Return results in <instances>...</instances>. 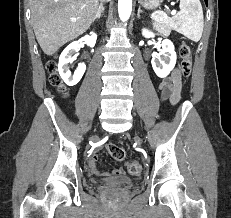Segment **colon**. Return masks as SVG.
<instances>
[{"instance_id":"obj_1","label":"colon","mask_w":231,"mask_h":218,"mask_svg":"<svg viewBox=\"0 0 231 218\" xmlns=\"http://www.w3.org/2000/svg\"><path fill=\"white\" fill-rule=\"evenodd\" d=\"M179 56L181 58L180 69L182 76L184 78H188L192 69V51L191 47L187 43H182L180 46ZM56 68L57 65L55 61L48 62L47 69L50 72V82L54 86L58 87L62 92H65L66 88L62 84L59 75L56 73ZM106 149L115 160H124L125 150L122 147L114 143H108L106 145ZM126 169L131 175H138L142 171V165L136 160H130L126 162Z\"/></svg>"}]
</instances>
